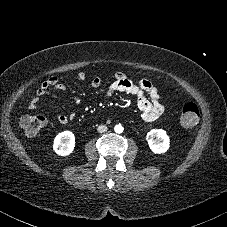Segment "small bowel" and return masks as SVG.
Segmentation results:
<instances>
[{
	"label": "small bowel",
	"instance_id": "small-bowel-1",
	"mask_svg": "<svg viewBox=\"0 0 227 227\" xmlns=\"http://www.w3.org/2000/svg\"><path fill=\"white\" fill-rule=\"evenodd\" d=\"M85 77L84 73H79L76 76V79L82 81ZM101 83V78L96 76L92 79L90 86L93 89H97L101 86ZM65 89L66 86L60 83L56 76L48 78L37 88L35 96L28 104L29 109H38L40 103L47 96L56 100L58 96L53 92V90L63 91ZM117 92H125L134 95L137 98L138 109L142 113V117L146 122L155 121L164 112V107L160 102L158 90L155 85L148 80L143 79L134 82L125 74L117 73L114 76L113 82L107 86L105 94L107 97H112ZM73 101L75 108L69 114L60 113L57 117L59 123L62 125H68L76 118L77 107L81 103V99L79 97H74Z\"/></svg>",
	"mask_w": 227,
	"mask_h": 227
}]
</instances>
